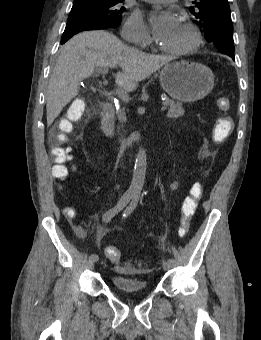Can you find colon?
<instances>
[{
	"label": "colon",
	"mask_w": 261,
	"mask_h": 340,
	"mask_svg": "<svg viewBox=\"0 0 261 340\" xmlns=\"http://www.w3.org/2000/svg\"><path fill=\"white\" fill-rule=\"evenodd\" d=\"M217 108L224 114L219 118L214 126L213 138L216 142L226 140L234 129V123L228 115L230 109V100L227 97H220L216 102ZM84 112V104L81 101H75L70 106L67 119H64L59 124V133L55 137L52 146V155L55 161L52 173L56 179H66L70 174V168L67 163L72 159L70 149L65 144L67 135L73 131V122L79 120ZM203 195V186L200 183H195L190 188L189 194L183 199L181 205V225L179 235L186 236L189 231L192 216L198 205V201ZM107 258L114 264L119 265L121 261V252L118 248L109 246L106 248Z\"/></svg>",
	"instance_id": "obj_1"
}]
</instances>
